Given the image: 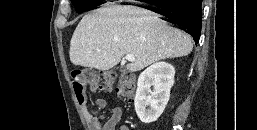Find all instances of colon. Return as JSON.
<instances>
[{
  "label": "colon",
  "instance_id": "1",
  "mask_svg": "<svg viewBox=\"0 0 257 130\" xmlns=\"http://www.w3.org/2000/svg\"><path fill=\"white\" fill-rule=\"evenodd\" d=\"M116 73L105 71L102 73L91 69H75L71 72V82L77 100L85 98V90L90 87L94 91H110L115 83ZM136 90V79L131 73L120 75L116 86L117 96L124 101H132Z\"/></svg>",
  "mask_w": 257,
  "mask_h": 130
}]
</instances>
